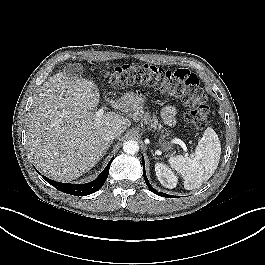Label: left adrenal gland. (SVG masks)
Listing matches in <instances>:
<instances>
[{
	"label": "left adrenal gland",
	"instance_id": "1",
	"mask_svg": "<svg viewBox=\"0 0 265 265\" xmlns=\"http://www.w3.org/2000/svg\"><path fill=\"white\" fill-rule=\"evenodd\" d=\"M151 153L154 159H157L156 155L154 154L153 150L151 149Z\"/></svg>",
	"mask_w": 265,
	"mask_h": 265
}]
</instances>
